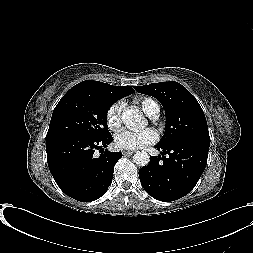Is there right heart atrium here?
I'll return each instance as SVG.
<instances>
[{"instance_id":"obj_1","label":"right heart atrium","mask_w":253,"mask_h":253,"mask_svg":"<svg viewBox=\"0 0 253 253\" xmlns=\"http://www.w3.org/2000/svg\"><path fill=\"white\" fill-rule=\"evenodd\" d=\"M123 109V102L117 101L110 105L106 112V123L107 126L114 130L121 124V114Z\"/></svg>"}]
</instances>
